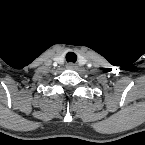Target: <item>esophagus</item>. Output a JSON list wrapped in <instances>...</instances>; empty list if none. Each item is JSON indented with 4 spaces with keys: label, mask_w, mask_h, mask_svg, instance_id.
Wrapping results in <instances>:
<instances>
[{
    "label": "esophagus",
    "mask_w": 145,
    "mask_h": 145,
    "mask_svg": "<svg viewBox=\"0 0 145 145\" xmlns=\"http://www.w3.org/2000/svg\"><path fill=\"white\" fill-rule=\"evenodd\" d=\"M66 67H67L68 69H70V70H74V69L77 68V65L74 64V63H72V62H70V63H68V64L66 65Z\"/></svg>",
    "instance_id": "obj_1"
}]
</instances>
